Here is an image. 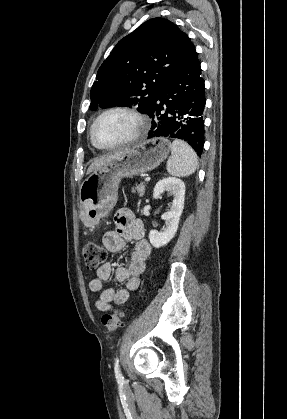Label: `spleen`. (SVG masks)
I'll return each instance as SVG.
<instances>
[{
  "mask_svg": "<svg viewBox=\"0 0 287 419\" xmlns=\"http://www.w3.org/2000/svg\"><path fill=\"white\" fill-rule=\"evenodd\" d=\"M198 166L197 155L194 150L182 140H174L171 144V156L167 161L169 174L186 177L193 174Z\"/></svg>",
  "mask_w": 287,
  "mask_h": 419,
  "instance_id": "3e777b00",
  "label": "spleen"
}]
</instances>
